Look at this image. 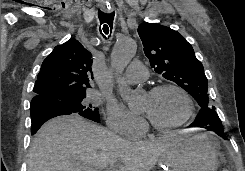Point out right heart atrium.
<instances>
[{
	"label": "right heart atrium",
	"mask_w": 245,
	"mask_h": 171,
	"mask_svg": "<svg viewBox=\"0 0 245 171\" xmlns=\"http://www.w3.org/2000/svg\"><path fill=\"white\" fill-rule=\"evenodd\" d=\"M106 121L110 129L130 139L138 137L145 128L142 118L115 103L108 106Z\"/></svg>",
	"instance_id": "d8ad5b80"
}]
</instances>
